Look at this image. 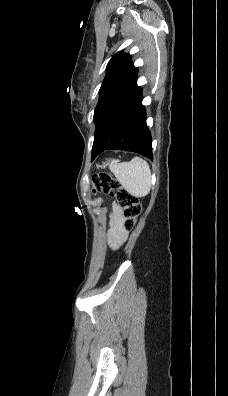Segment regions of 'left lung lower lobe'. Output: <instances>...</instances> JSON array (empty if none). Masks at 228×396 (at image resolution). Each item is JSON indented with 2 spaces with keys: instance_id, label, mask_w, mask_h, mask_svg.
<instances>
[{
  "instance_id": "1",
  "label": "left lung lower lobe",
  "mask_w": 228,
  "mask_h": 396,
  "mask_svg": "<svg viewBox=\"0 0 228 396\" xmlns=\"http://www.w3.org/2000/svg\"><path fill=\"white\" fill-rule=\"evenodd\" d=\"M142 99V89L135 82L105 111L94 135L97 151L92 160L108 149L136 152L153 159Z\"/></svg>"
}]
</instances>
